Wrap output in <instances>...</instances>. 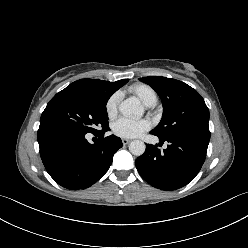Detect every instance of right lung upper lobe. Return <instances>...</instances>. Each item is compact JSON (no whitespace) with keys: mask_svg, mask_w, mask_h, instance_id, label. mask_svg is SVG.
Wrapping results in <instances>:
<instances>
[{"mask_svg":"<svg viewBox=\"0 0 248 248\" xmlns=\"http://www.w3.org/2000/svg\"><path fill=\"white\" fill-rule=\"evenodd\" d=\"M128 82V79L109 82L97 79H80L71 83L68 87L86 91L96 95L111 96L115 91Z\"/></svg>","mask_w":248,"mask_h":248,"instance_id":"obj_1","label":"right lung upper lobe"}]
</instances>
